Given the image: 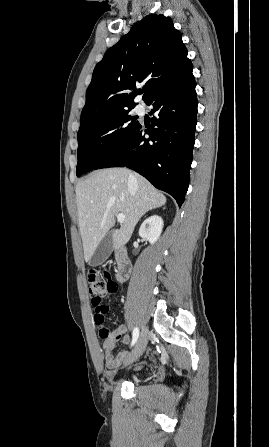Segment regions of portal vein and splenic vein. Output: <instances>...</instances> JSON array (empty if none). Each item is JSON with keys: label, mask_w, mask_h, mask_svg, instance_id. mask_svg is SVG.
<instances>
[{"label": "portal vein and splenic vein", "mask_w": 269, "mask_h": 447, "mask_svg": "<svg viewBox=\"0 0 269 447\" xmlns=\"http://www.w3.org/2000/svg\"><path fill=\"white\" fill-rule=\"evenodd\" d=\"M124 220H125L124 214H118L117 222H120V224H124Z\"/></svg>", "instance_id": "portal-vein-and-splenic-vein-1"}]
</instances>
